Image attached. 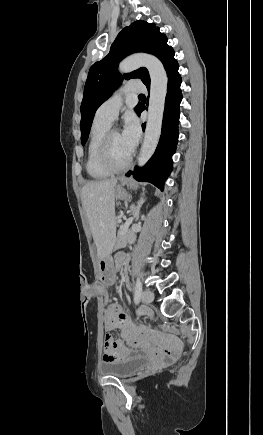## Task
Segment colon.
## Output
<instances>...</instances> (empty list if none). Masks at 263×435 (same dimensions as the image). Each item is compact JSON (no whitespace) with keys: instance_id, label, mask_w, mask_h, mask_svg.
<instances>
[{"instance_id":"colon-1","label":"colon","mask_w":263,"mask_h":435,"mask_svg":"<svg viewBox=\"0 0 263 435\" xmlns=\"http://www.w3.org/2000/svg\"><path fill=\"white\" fill-rule=\"evenodd\" d=\"M97 289H100L99 287H97ZM157 329L159 328L162 332H171L174 335H181L183 332L181 330H174L172 327H167L166 324H157L155 326ZM114 336L110 333L107 332L104 335V338L102 340V348L104 350H111L113 348V340ZM125 343L127 342L126 339H122ZM131 342V341H130ZM159 358V356H157Z\"/></svg>"}]
</instances>
